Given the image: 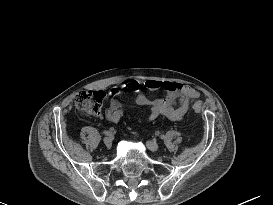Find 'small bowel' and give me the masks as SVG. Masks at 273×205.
I'll use <instances>...</instances> for the list:
<instances>
[{"label": "small bowel", "instance_id": "obj_1", "mask_svg": "<svg viewBox=\"0 0 273 205\" xmlns=\"http://www.w3.org/2000/svg\"><path fill=\"white\" fill-rule=\"evenodd\" d=\"M143 86L148 90L162 88L166 94L161 98L151 99L141 93L142 84L135 80H128L124 87L135 95V102L138 105L149 107L148 118L154 120L160 116L171 120H181L188 112L191 104L199 97V92L193 87L177 82H160L157 80H146ZM118 88L109 91V106L105 111V117L110 122H118L124 115V109L117 99Z\"/></svg>", "mask_w": 273, "mask_h": 205}]
</instances>
